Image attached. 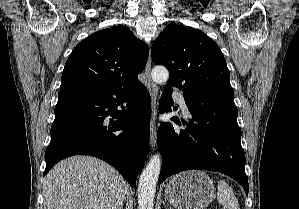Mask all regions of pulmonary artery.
<instances>
[{
    "instance_id": "e3ab8cb5",
    "label": "pulmonary artery",
    "mask_w": 299,
    "mask_h": 209,
    "mask_svg": "<svg viewBox=\"0 0 299 209\" xmlns=\"http://www.w3.org/2000/svg\"><path fill=\"white\" fill-rule=\"evenodd\" d=\"M174 97H175V99L177 100L179 106L181 107L183 113H184L186 116H188V115H189V111H188L187 105H186V103H185V98H184V96H183L181 93H179V92H175V93H174Z\"/></svg>"
}]
</instances>
